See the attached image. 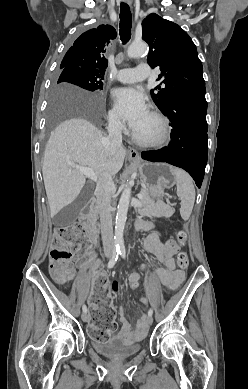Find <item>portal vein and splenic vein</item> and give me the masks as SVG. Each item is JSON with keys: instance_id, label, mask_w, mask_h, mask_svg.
Listing matches in <instances>:
<instances>
[{"instance_id": "18ae733b", "label": "portal vein and splenic vein", "mask_w": 248, "mask_h": 389, "mask_svg": "<svg viewBox=\"0 0 248 389\" xmlns=\"http://www.w3.org/2000/svg\"><path fill=\"white\" fill-rule=\"evenodd\" d=\"M70 165L73 168H76L77 170H79L86 177H89L91 180H93L95 182L97 181V175L95 174V172L91 168L80 166V165H75V164H70ZM137 196L139 199H142V194H138Z\"/></svg>"}]
</instances>
